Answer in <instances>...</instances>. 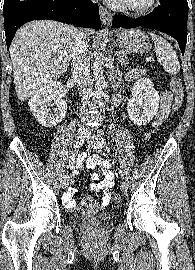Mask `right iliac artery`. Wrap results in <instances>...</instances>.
I'll list each match as a JSON object with an SVG mask.
<instances>
[{
    "label": "right iliac artery",
    "instance_id": "1",
    "mask_svg": "<svg viewBox=\"0 0 195 270\" xmlns=\"http://www.w3.org/2000/svg\"><path fill=\"white\" fill-rule=\"evenodd\" d=\"M75 156H76V154H73V156H71V158H70V160H69V163H68V165H67V168H68V169H73V164H74V162H75Z\"/></svg>",
    "mask_w": 195,
    "mask_h": 270
}]
</instances>
